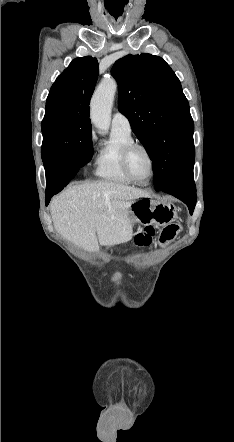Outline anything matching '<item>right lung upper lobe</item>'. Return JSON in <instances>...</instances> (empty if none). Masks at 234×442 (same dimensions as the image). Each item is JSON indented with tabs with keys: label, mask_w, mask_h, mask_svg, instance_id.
<instances>
[{
	"label": "right lung upper lobe",
	"mask_w": 234,
	"mask_h": 442,
	"mask_svg": "<svg viewBox=\"0 0 234 442\" xmlns=\"http://www.w3.org/2000/svg\"><path fill=\"white\" fill-rule=\"evenodd\" d=\"M98 73L96 58L86 56L74 59L52 85L46 100L44 119L71 117L91 126L89 103Z\"/></svg>",
	"instance_id": "obj_1"
}]
</instances>
